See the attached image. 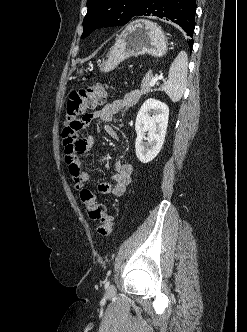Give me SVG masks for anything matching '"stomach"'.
I'll return each instance as SVG.
<instances>
[{
    "instance_id": "1",
    "label": "stomach",
    "mask_w": 247,
    "mask_h": 332,
    "mask_svg": "<svg viewBox=\"0 0 247 332\" xmlns=\"http://www.w3.org/2000/svg\"><path fill=\"white\" fill-rule=\"evenodd\" d=\"M167 49L168 42L162 29L151 21L138 19L123 30L107 58L100 63V70L112 71L125 59L143 54L162 57ZM84 71L83 68L77 69L76 75H83Z\"/></svg>"
}]
</instances>
